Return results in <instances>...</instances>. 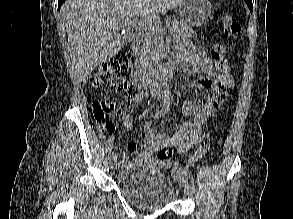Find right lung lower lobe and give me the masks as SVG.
I'll list each match as a JSON object with an SVG mask.
<instances>
[{
    "instance_id": "right-lung-lower-lobe-1",
    "label": "right lung lower lobe",
    "mask_w": 293,
    "mask_h": 219,
    "mask_svg": "<svg viewBox=\"0 0 293 219\" xmlns=\"http://www.w3.org/2000/svg\"><path fill=\"white\" fill-rule=\"evenodd\" d=\"M64 2V0H58V8L60 9L62 3Z\"/></svg>"
}]
</instances>
